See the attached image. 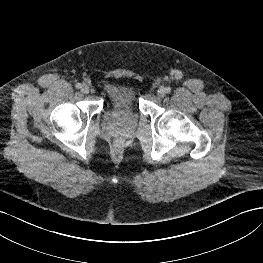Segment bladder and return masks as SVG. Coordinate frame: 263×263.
Wrapping results in <instances>:
<instances>
[{
	"mask_svg": "<svg viewBox=\"0 0 263 263\" xmlns=\"http://www.w3.org/2000/svg\"><path fill=\"white\" fill-rule=\"evenodd\" d=\"M107 110L114 119L130 117L138 101V90L130 83L111 82L105 85Z\"/></svg>",
	"mask_w": 263,
	"mask_h": 263,
	"instance_id": "obj_1",
	"label": "bladder"
}]
</instances>
